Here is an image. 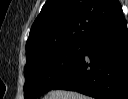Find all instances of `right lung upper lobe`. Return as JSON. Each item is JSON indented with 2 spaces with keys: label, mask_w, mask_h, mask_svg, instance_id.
Masks as SVG:
<instances>
[{
  "label": "right lung upper lobe",
  "mask_w": 128,
  "mask_h": 99,
  "mask_svg": "<svg viewBox=\"0 0 128 99\" xmlns=\"http://www.w3.org/2000/svg\"><path fill=\"white\" fill-rule=\"evenodd\" d=\"M121 8L118 0H48L30 30L27 58L84 42L107 25Z\"/></svg>",
  "instance_id": "right-lung-upper-lobe-1"
}]
</instances>
